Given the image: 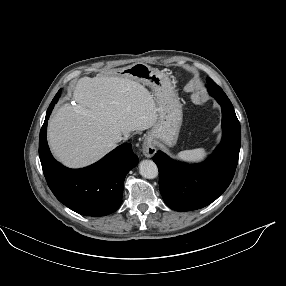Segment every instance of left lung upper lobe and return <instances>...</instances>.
<instances>
[{"label": "left lung upper lobe", "mask_w": 286, "mask_h": 286, "mask_svg": "<svg viewBox=\"0 0 286 286\" xmlns=\"http://www.w3.org/2000/svg\"><path fill=\"white\" fill-rule=\"evenodd\" d=\"M207 86L209 94L215 99L227 97L223 90L211 78H207Z\"/></svg>", "instance_id": "5c2ea615"}]
</instances>
